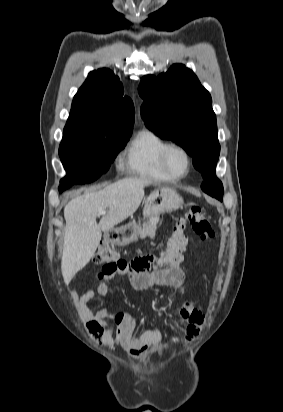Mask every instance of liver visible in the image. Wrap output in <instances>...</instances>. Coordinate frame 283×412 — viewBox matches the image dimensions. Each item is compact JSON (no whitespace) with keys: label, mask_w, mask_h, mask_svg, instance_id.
Wrapping results in <instances>:
<instances>
[{"label":"liver","mask_w":283,"mask_h":412,"mask_svg":"<svg viewBox=\"0 0 283 412\" xmlns=\"http://www.w3.org/2000/svg\"><path fill=\"white\" fill-rule=\"evenodd\" d=\"M150 184L151 180L146 178L122 179L102 190L80 195L65 206L61 262L65 282L89 263L100 243L102 231L113 229L136 212L144 198V187ZM100 210L108 211L97 223Z\"/></svg>","instance_id":"obj_1"}]
</instances>
